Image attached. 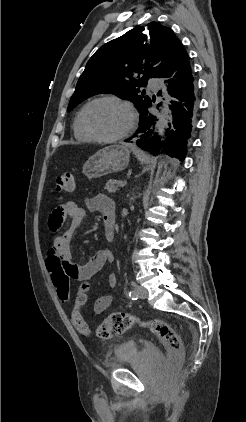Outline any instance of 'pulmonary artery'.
Returning <instances> with one entry per match:
<instances>
[{
	"label": "pulmonary artery",
	"instance_id": "pulmonary-artery-1",
	"mask_svg": "<svg viewBox=\"0 0 246 422\" xmlns=\"http://www.w3.org/2000/svg\"><path fill=\"white\" fill-rule=\"evenodd\" d=\"M148 87L153 91H157L160 88V83L156 78H150L148 80Z\"/></svg>",
	"mask_w": 246,
	"mask_h": 422
}]
</instances>
